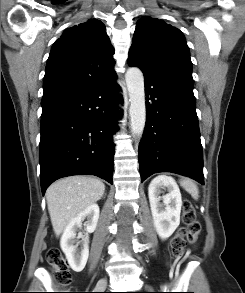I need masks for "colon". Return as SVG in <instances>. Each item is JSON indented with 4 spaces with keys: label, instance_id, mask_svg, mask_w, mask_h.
<instances>
[{
    "label": "colon",
    "instance_id": "5ec220e1",
    "mask_svg": "<svg viewBox=\"0 0 245 293\" xmlns=\"http://www.w3.org/2000/svg\"><path fill=\"white\" fill-rule=\"evenodd\" d=\"M182 213L185 226L179 228L171 240L172 251L176 256L183 254L186 242L195 243L201 231V225L196 219L195 210L190 201H183ZM47 261L54 269L55 281L60 285H69L72 276L60 250L50 249L47 252Z\"/></svg>",
    "mask_w": 245,
    "mask_h": 293
}]
</instances>
